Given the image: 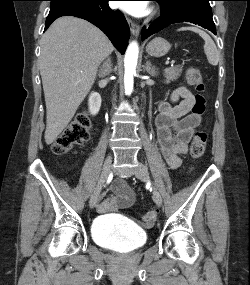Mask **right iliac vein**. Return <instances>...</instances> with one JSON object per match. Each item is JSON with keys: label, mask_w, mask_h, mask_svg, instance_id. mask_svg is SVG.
Returning <instances> with one entry per match:
<instances>
[{"label": "right iliac vein", "mask_w": 250, "mask_h": 285, "mask_svg": "<svg viewBox=\"0 0 250 285\" xmlns=\"http://www.w3.org/2000/svg\"><path fill=\"white\" fill-rule=\"evenodd\" d=\"M111 164H112V156L108 155L105 162H104L100 178H99L97 185L95 186L93 193L91 195L90 204H89L90 208H94L96 206V203L98 201L101 189H102V187H103V185H104V183H105V181L109 175Z\"/></svg>", "instance_id": "right-iliac-vein-1"}]
</instances>
